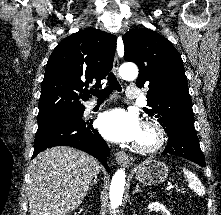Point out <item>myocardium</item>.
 <instances>
[{
  "mask_svg": "<svg viewBox=\"0 0 221 215\" xmlns=\"http://www.w3.org/2000/svg\"><path fill=\"white\" fill-rule=\"evenodd\" d=\"M142 130L149 132L152 135L150 142L136 141L134 148L141 153H154L161 149L166 141V132L163 126L154 120H147L142 124Z\"/></svg>",
  "mask_w": 221,
  "mask_h": 215,
  "instance_id": "1",
  "label": "myocardium"
}]
</instances>
